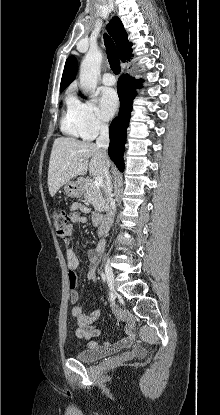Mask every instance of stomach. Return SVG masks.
Returning <instances> with one entry per match:
<instances>
[{
	"label": "stomach",
	"instance_id": "1",
	"mask_svg": "<svg viewBox=\"0 0 220 415\" xmlns=\"http://www.w3.org/2000/svg\"><path fill=\"white\" fill-rule=\"evenodd\" d=\"M66 195L72 198H79L84 191V183L81 181H70L64 185Z\"/></svg>",
	"mask_w": 220,
	"mask_h": 415
}]
</instances>
